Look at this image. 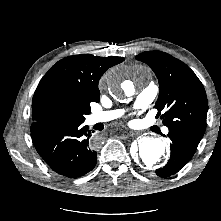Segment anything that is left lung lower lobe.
Segmentation results:
<instances>
[{
	"mask_svg": "<svg viewBox=\"0 0 221 221\" xmlns=\"http://www.w3.org/2000/svg\"><path fill=\"white\" fill-rule=\"evenodd\" d=\"M168 136L172 141L171 156L163 168L156 170V174L160 177H168L183 168L194 155L202 139L193 133L179 129H169Z\"/></svg>",
	"mask_w": 221,
	"mask_h": 221,
	"instance_id": "0a47b994",
	"label": "left lung lower lobe"
}]
</instances>
